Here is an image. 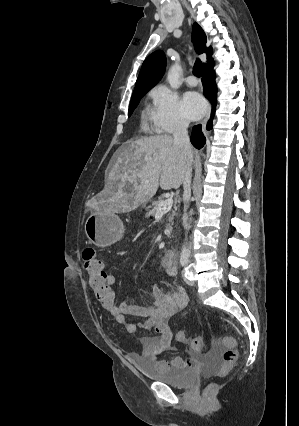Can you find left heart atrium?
<instances>
[{
  "instance_id": "left-heart-atrium-1",
  "label": "left heart atrium",
  "mask_w": 299,
  "mask_h": 426,
  "mask_svg": "<svg viewBox=\"0 0 299 426\" xmlns=\"http://www.w3.org/2000/svg\"><path fill=\"white\" fill-rule=\"evenodd\" d=\"M183 106L187 117L191 120H197L203 116L206 111V103L197 92H187L183 97Z\"/></svg>"
}]
</instances>
